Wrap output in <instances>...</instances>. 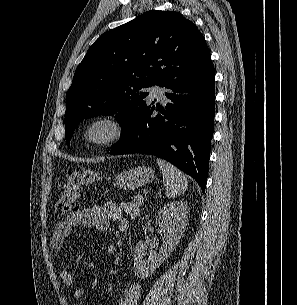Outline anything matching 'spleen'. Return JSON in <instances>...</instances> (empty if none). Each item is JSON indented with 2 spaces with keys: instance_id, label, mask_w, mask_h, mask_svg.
<instances>
[{
  "instance_id": "3e777b00",
  "label": "spleen",
  "mask_w": 297,
  "mask_h": 305,
  "mask_svg": "<svg viewBox=\"0 0 297 305\" xmlns=\"http://www.w3.org/2000/svg\"><path fill=\"white\" fill-rule=\"evenodd\" d=\"M163 175V184L168 198H175L182 194L188 186V181L185 175L172 166L170 163L157 159Z\"/></svg>"
}]
</instances>
